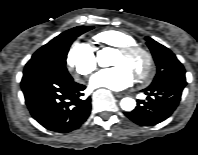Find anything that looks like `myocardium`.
<instances>
[{"instance_id":"f54148a6","label":"myocardium","mask_w":198,"mask_h":155,"mask_svg":"<svg viewBox=\"0 0 198 155\" xmlns=\"http://www.w3.org/2000/svg\"><path fill=\"white\" fill-rule=\"evenodd\" d=\"M118 52L127 57L140 55L143 58V65L136 71V76L140 80H146L150 77L154 60L152 54L146 48L138 44H131L119 47Z\"/></svg>"}]
</instances>
